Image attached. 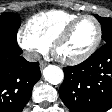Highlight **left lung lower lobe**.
<instances>
[{
    "label": "left lung lower lobe",
    "instance_id": "1",
    "mask_svg": "<svg viewBox=\"0 0 112 112\" xmlns=\"http://www.w3.org/2000/svg\"><path fill=\"white\" fill-rule=\"evenodd\" d=\"M59 95L72 112H105L112 107V42L87 60L65 67Z\"/></svg>",
    "mask_w": 112,
    "mask_h": 112
}]
</instances>
